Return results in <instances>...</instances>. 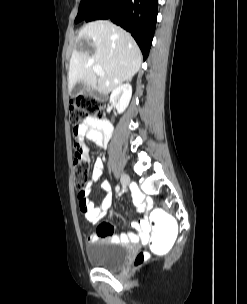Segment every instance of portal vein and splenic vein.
I'll return each instance as SVG.
<instances>
[{
    "mask_svg": "<svg viewBox=\"0 0 247 304\" xmlns=\"http://www.w3.org/2000/svg\"><path fill=\"white\" fill-rule=\"evenodd\" d=\"M93 70L94 72L98 75V76H103L104 75V72H103V69L100 65H94L93 66Z\"/></svg>",
    "mask_w": 247,
    "mask_h": 304,
    "instance_id": "portal-vein-and-splenic-vein-1",
    "label": "portal vein and splenic vein"
}]
</instances>
